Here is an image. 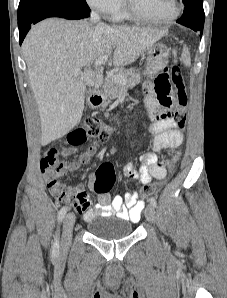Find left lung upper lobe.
<instances>
[{"mask_svg":"<svg viewBox=\"0 0 227 298\" xmlns=\"http://www.w3.org/2000/svg\"><path fill=\"white\" fill-rule=\"evenodd\" d=\"M185 5V11L178 23L187 26L188 24L204 25L205 14L203 10V0H182Z\"/></svg>","mask_w":227,"mask_h":298,"instance_id":"left-lung-upper-lobe-1","label":"left lung upper lobe"}]
</instances>
